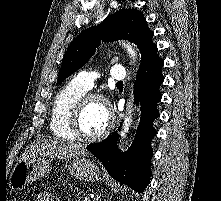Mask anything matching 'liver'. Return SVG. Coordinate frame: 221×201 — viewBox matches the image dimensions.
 <instances>
[{
	"label": "liver",
	"instance_id": "obj_1",
	"mask_svg": "<svg viewBox=\"0 0 221 201\" xmlns=\"http://www.w3.org/2000/svg\"><path fill=\"white\" fill-rule=\"evenodd\" d=\"M89 153L80 144L65 143L59 140H45L33 144L29 150L22 155V159L33 156H48L53 158H70L87 156ZM21 159V160H22Z\"/></svg>",
	"mask_w": 221,
	"mask_h": 201
}]
</instances>
